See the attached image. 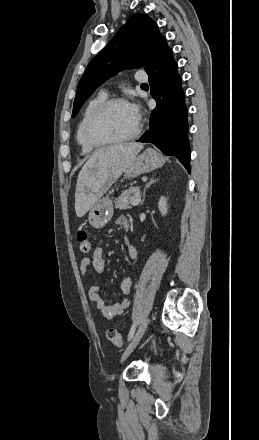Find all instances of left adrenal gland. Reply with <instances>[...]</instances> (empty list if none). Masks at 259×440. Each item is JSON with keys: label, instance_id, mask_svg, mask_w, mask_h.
Returning a JSON list of instances; mask_svg holds the SVG:
<instances>
[{"label": "left adrenal gland", "instance_id": "a2214340", "mask_svg": "<svg viewBox=\"0 0 259 440\" xmlns=\"http://www.w3.org/2000/svg\"><path fill=\"white\" fill-rule=\"evenodd\" d=\"M156 181H157V179H154V177H152V178L150 179V181L145 185V188H144V190H143V198H142V201H141V204H140V205H143V203H144L146 190H147V189H148L153 183H155Z\"/></svg>", "mask_w": 259, "mask_h": 440}]
</instances>
